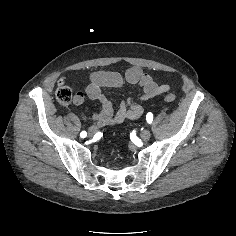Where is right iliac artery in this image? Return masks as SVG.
<instances>
[{
  "label": "right iliac artery",
  "mask_w": 236,
  "mask_h": 236,
  "mask_svg": "<svg viewBox=\"0 0 236 236\" xmlns=\"http://www.w3.org/2000/svg\"><path fill=\"white\" fill-rule=\"evenodd\" d=\"M80 136H81L82 138H85V137L87 136V132H86V131H82V132L80 133Z\"/></svg>",
  "instance_id": "obj_1"
}]
</instances>
